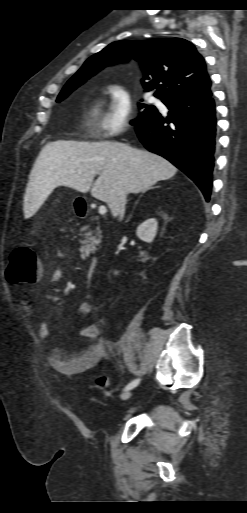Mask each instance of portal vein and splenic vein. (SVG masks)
<instances>
[{"label": "portal vein and splenic vein", "instance_id": "18ae733b", "mask_svg": "<svg viewBox=\"0 0 247 513\" xmlns=\"http://www.w3.org/2000/svg\"><path fill=\"white\" fill-rule=\"evenodd\" d=\"M98 212L99 214L104 215L107 212L106 207L100 206Z\"/></svg>", "mask_w": 247, "mask_h": 513}]
</instances>
